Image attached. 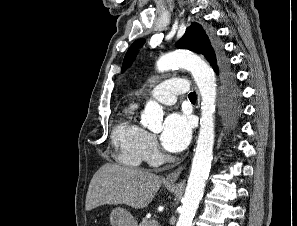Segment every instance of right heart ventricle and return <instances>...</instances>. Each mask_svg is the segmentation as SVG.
Listing matches in <instances>:
<instances>
[{
    "label": "right heart ventricle",
    "instance_id": "e07e8e85",
    "mask_svg": "<svg viewBox=\"0 0 297 226\" xmlns=\"http://www.w3.org/2000/svg\"><path fill=\"white\" fill-rule=\"evenodd\" d=\"M135 106L130 105L112 131L115 158L123 165L137 167L144 160L147 132L134 119Z\"/></svg>",
    "mask_w": 297,
    "mask_h": 226
}]
</instances>
